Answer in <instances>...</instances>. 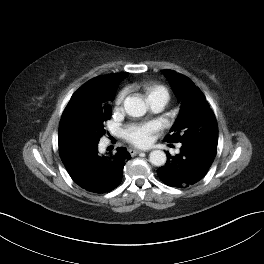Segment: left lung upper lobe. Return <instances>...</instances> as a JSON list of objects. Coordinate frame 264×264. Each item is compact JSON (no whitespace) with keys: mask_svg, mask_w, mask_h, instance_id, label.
I'll use <instances>...</instances> for the list:
<instances>
[{"mask_svg":"<svg viewBox=\"0 0 264 264\" xmlns=\"http://www.w3.org/2000/svg\"><path fill=\"white\" fill-rule=\"evenodd\" d=\"M162 73L168 79L178 101L180 113L172 126L166 142H205L217 146L218 127L215 116L203 93L187 77L170 70Z\"/></svg>","mask_w":264,"mask_h":264,"instance_id":"left-lung-upper-lobe-1","label":"left lung upper lobe"}]
</instances>
